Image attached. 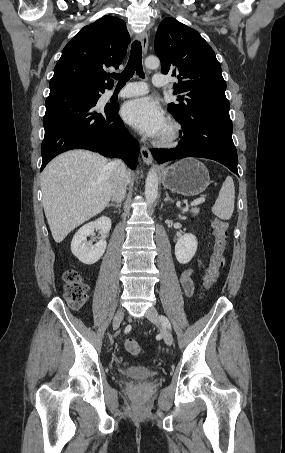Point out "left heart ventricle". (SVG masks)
Segmentation results:
<instances>
[{
  "label": "left heart ventricle",
  "instance_id": "obj_1",
  "mask_svg": "<svg viewBox=\"0 0 285 453\" xmlns=\"http://www.w3.org/2000/svg\"><path fill=\"white\" fill-rule=\"evenodd\" d=\"M165 131H166V126L164 127V129H163L161 135H162Z\"/></svg>",
  "mask_w": 285,
  "mask_h": 453
}]
</instances>
